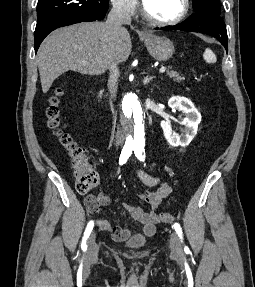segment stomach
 <instances>
[{
    "label": "stomach",
    "mask_w": 255,
    "mask_h": 287,
    "mask_svg": "<svg viewBox=\"0 0 255 287\" xmlns=\"http://www.w3.org/2000/svg\"><path fill=\"white\" fill-rule=\"evenodd\" d=\"M144 44L152 58L158 62H166L174 54V46L169 38L164 36H144Z\"/></svg>",
    "instance_id": "stomach-1"
}]
</instances>
